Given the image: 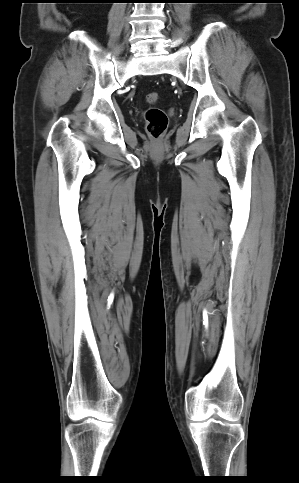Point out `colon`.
<instances>
[{"instance_id": "1", "label": "colon", "mask_w": 299, "mask_h": 483, "mask_svg": "<svg viewBox=\"0 0 299 483\" xmlns=\"http://www.w3.org/2000/svg\"><path fill=\"white\" fill-rule=\"evenodd\" d=\"M146 101L149 104L157 103L159 101V94L157 92H149L146 95ZM145 119L147 133L154 139L161 138L168 126L166 113L160 108L151 107L146 111Z\"/></svg>"}]
</instances>
